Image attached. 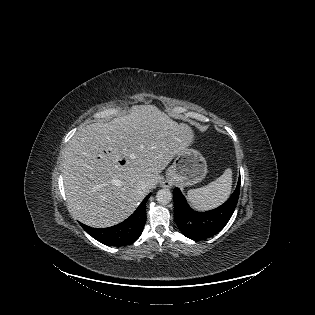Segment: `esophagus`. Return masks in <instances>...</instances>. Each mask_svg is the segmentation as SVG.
<instances>
[{
	"mask_svg": "<svg viewBox=\"0 0 315 315\" xmlns=\"http://www.w3.org/2000/svg\"><path fill=\"white\" fill-rule=\"evenodd\" d=\"M162 186L163 187H170L171 184L169 182L165 181V182L162 183Z\"/></svg>",
	"mask_w": 315,
	"mask_h": 315,
	"instance_id": "esophagus-1",
	"label": "esophagus"
}]
</instances>
